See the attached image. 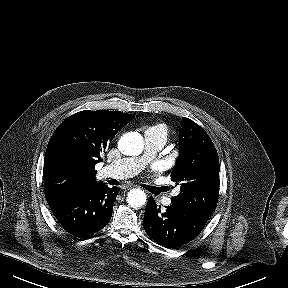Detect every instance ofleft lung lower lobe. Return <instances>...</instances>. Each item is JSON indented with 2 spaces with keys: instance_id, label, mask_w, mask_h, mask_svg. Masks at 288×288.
Here are the masks:
<instances>
[{
  "instance_id": "obj_1",
  "label": "left lung lower lobe",
  "mask_w": 288,
  "mask_h": 288,
  "mask_svg": "<svg viewBox=\"0 0 288 288\" xmlns=\"http://www.w3.org/2000/svg\"><path fill=\"white\" fill-rule=\"evenodd\" d=\"M209 216L172 203L161 211L153 197L145 209L143 228L150 238L166 248H176L196 238Z\"/></svg>"
}]
</instances>
